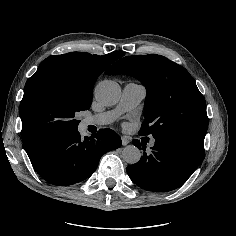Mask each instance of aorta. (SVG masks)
Masks as SVG:
<instances>
[{"mask_svg": "<svg viewBox=\"0 0 236 236\" xmlns=\"http://www.w3.org/2000/svg\"><path fill=\"white\" fill-rule=\"evenodd\" d=\"M94 95L96 100L103 105H114L120 99V86L112 80L102 81L96 86ZM122 158L128 164H135L140 160L141 152L136 146L128 145L122 151Z\"/></svg>", "mask_w": 236, "mask_h": 236, "instance_id": "762f6f07", "label": "aorta"}]
</instances>
